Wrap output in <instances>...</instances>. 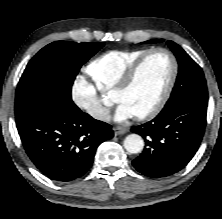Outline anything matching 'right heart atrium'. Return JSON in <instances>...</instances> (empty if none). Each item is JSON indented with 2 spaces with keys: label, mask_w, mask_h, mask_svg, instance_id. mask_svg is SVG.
Segmentation results:
<instances>
[{
  "label": "right heart atrium",
  "mask_w": 222,
  "mask_h": 219,
  "mask_svg": "<svg viewBox=\"0 0 222 219\" xmlns=\"http://www.w3.org/2000/svg\"><path fill=\"white\" fill-rule=\"evenodd\" d=\"M71 100L76 107L86 112L92 119L103 122L109 115V107L105 106L92 83L84 76L77 75L71 84Z\"/></svg>",
  "instance_id": "d8ad5b80"
}]
</instances>
